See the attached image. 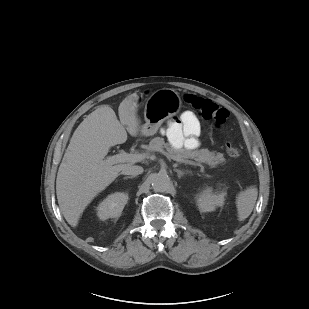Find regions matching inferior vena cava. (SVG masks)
Segmentation results:
<instances>
[{
    "label": "inferior vena cava",
    "instance_id": "602c4592",
    "mask_svg": "<svg viewBox=\"0 0 309 309\" xmlns=\"http://www.w3.org/2000/svg\"><path fill=\"white\" fill-rule=\"evenodd\" d=\"M141 173H143V168L141 166H137V165L126 166L121 171V174H123V175H132V176H137Z\"/></svg>",
    "mask_w": 309,
    "mask_h": 309
}]
</instances>
